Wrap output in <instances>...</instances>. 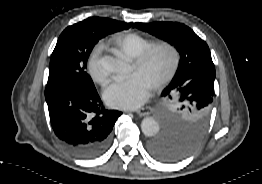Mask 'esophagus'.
Returning a JSON list of instances; mask_svg holds the SVG:
<instances>
[{"label": "esophagus", "mask_w": 262, "mask_h": 184, "mask_svg": "<svg viewBox=\"0 0 262 184\" xmlns=\"http://www.w3.org/2000/svg\"><path fill=\"white\" fill-rule=\"evenodd\" d=\"M152 111H153V109L150 106H147L145 108L137 110L136 113L139 116H145V115H149Z\"/></svg>", "instance_id": "obj_1"}]
</instances>
